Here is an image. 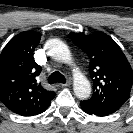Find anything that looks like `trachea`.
Segmentation results:
<instances>
[{"mask_svg":"<svg viewBox=\"0 0 133 133\" xmlns=\"http://www.w3.org/2000/svg\"><path fill=\"white\" fill-rule=\"evenodd\" d=\"M49 84H54V83H65L66 79L65 77L58 71L53 72L49 78H48Z\"/></svg>","mask_w":133,"mask_h":133,"instance_id":"trachea-1","label":"trachea"}]
</instances>
